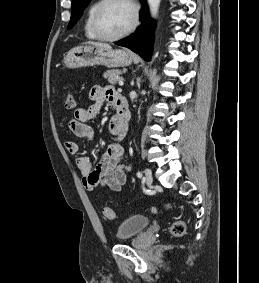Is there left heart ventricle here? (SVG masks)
Here are the masks:
<instances>
[{"instance_id":"left-heart-ventricle-1","label":"left heart ventricle","mask_w":259,"mask_h":283,"mask_svg":"<svg viewBox=\"0 0 259 283\" xmlns=\"http://www.w3.org/2000/svg\"><path fill=\"white\" fill-rule=\"evenodd\" d=\"M132 8L124 0H114L108 3L99 15V27L103 34L114 36L131 24Z\"/></svg>"}]
</instances>
